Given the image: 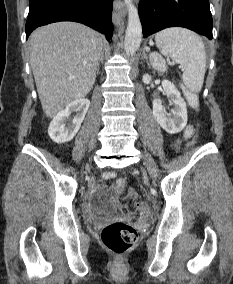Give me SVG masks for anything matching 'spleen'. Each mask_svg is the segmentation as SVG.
Here are the masks:
<instances>
[{"instance_id": "3e777b00", "label": "spleen", "mask_w": 233, "mask_h": 284, "mask_svg": "<svg viewBox=\"0 0 233 284\" xmlns=\"http://www.w3.org/2000/svg\"><path fill=\"white\" fill-rule=\"evenodd\" d=\"M162 55L173 59L183 69V83L191 92L202 89L206 71V52L202 39L184 28H168L155 35ZM155 54L150 55L153 64Z\"/></svg>"}]
</instances>
